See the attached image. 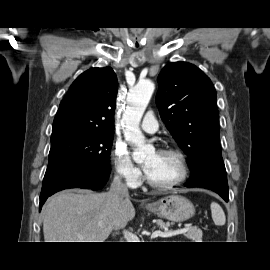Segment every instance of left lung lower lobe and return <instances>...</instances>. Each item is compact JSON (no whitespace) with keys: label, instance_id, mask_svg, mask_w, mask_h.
I'll use <instances>...</instances> for the list:
<instances>
[{"label":"left lung lower lobe","instance_id":"obj_1","mask_svg":"<svg viewBox=\"0 0 270 270\" xmlns=\"http://www.w3.org/2000/svg\"><path fill=\"white\" fill-rule=\"evenodd\" d=\"M188 188L202 187L218 193L226 202L229 200L227 175L224 165L212 164L195 178L185 183Z\"/></svg>","mask_w":270,"mask_h":270}]
</instances>
